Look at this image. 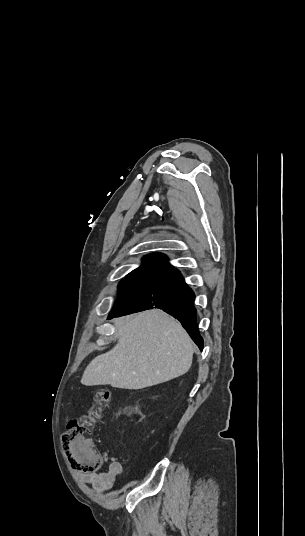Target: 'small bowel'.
Returning a JSON list of instances; mask_svg holds the SVG:
<instances>
[{"mask_svg":"<svg viewBox=\"0 0 305 536\" xmlns=\"http://www.w3.org/2000/svg\"><path fill=\"white\" fill-rule=\"evenodd\" d=\"M122 473V464L116 460H113L109 464L107 471H100L93 474L79 472L78 478L84 483L91 484L96 491L105 492L114 486L117 477L121 476Z\"/></svg>","mask_w":305,"mask_h":536,"instance_id":"obj_1","label":"small bowel"}]
</instances>
